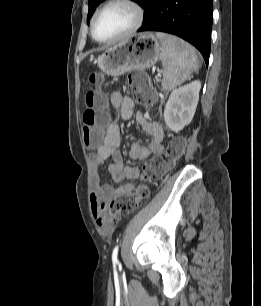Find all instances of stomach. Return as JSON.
<instances>
[{
	"instance_id": "stomach-1",
	"label": "stomach",
	"mask_w": 261,
	"mask_h": 306,
	"mask_svg": "<svg viewBox=\"0 0 261 306\" xmlns=\"http://www.w3.org/2000/svg\"><path fill=\"white\" fill-rule=\"evenodd\" d=\"M161 44L151 32L131 35L105 50L96 63L101 71L119 76L129 71H143L152 67L161 56Z\"/></svg>"
}]
</instances>
